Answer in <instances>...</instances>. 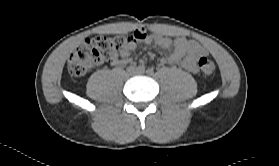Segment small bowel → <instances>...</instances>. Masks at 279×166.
<instances>
[{
    "mask_svg": "<svg viewBox=\"0 0 279 166\" xmlns=\"http://www.w3.org/2000/svg\"><path fill=\"white\" fill-rule=\"evenodd\" d=\"M134 34L138 35L137 39L129 43L118 57L111 60L113 65H126L130 63L131 53L136 50L139 42L146 44L155 43L160 49H171L167 62H179L183 68L192 73L198 71L197 60L206 53L202 45L185 37L180 36L170 39L159 34L148 33L144 29L136 30Z\"/></svg>",
    "mask_w": 279,
    "mask_h": 166,
    "instance_id": "small-bowel-1",
    "label": "small bowel"
}]
</instances>
